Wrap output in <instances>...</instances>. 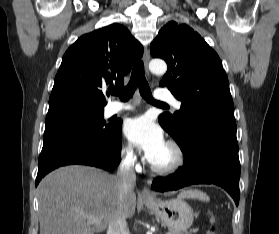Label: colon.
<instances>
[{
	"label": "colon",
	"instance_id": "1",
	"mask_svg": "<svg viewBox=\"0 0 279 234\" xmlns=\"http://www.w3.org/2000/svg\"><path fill=\"white\" fill-rule=\"evenodd\" d=\"M209 234H214V228L213 227L210 228Z\"/></svg>",
	"mask_w": 279,
	"mask_h": 234
}]
</instances>
